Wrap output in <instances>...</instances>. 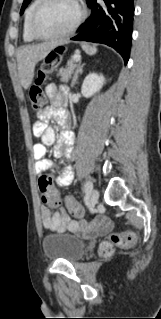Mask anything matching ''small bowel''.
I'll return each instance as SVG.
<instances>
[{
  "label": "small bowel",
  "instance_id": "1",
  "mask_svg": "<svg viewBox=\"0 0 161 319\" xmlns=\"http://www.w3.org/2000/svg\"><path fill=\"white\" fill-rule=\"evenodd\" d=\"M68 87L65 84H48L45 88V93L49 98L51 105L47 106L43 111L38 113V121L33 124V136L40 138L41 143L33 145V157L36 160V172L50 171L56 168V165L45 158V147L53 146V154L55 157H62L65 150L67 159H70L73 153L74 134L71 131L65 130L57 139L54 130L47 127L46 124L50 119H56L65 128L69 125V119L64 114L61 106L68 94ZM74 178V173L71 165L68 163L56 180V186L65 188L71 184ZM80 207V204L72 197L66 196L64 206L58 212H52L50 207L41 209V219L43 226L54 232L71 231L73 233H99L103 234L110 231L111 226L108 220L104 217L93 218L89 221L75 220L72 216H80L70 214L68 205Z\"/></svg>",
  "mask_w": 161,
  "mask_h": 319
}]
</instances>
